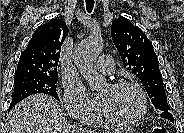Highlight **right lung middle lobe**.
<instances>
[{"label": "right lung middle lobe", "instance_id": "obj_1", "mask_svg": "<svg viewBox=\"0 0 184 133\" xmlns=\"http://www.w3.org/2000/svg\"><path fill=\"white\" fill-rule=\"evenodd\" d=\"M57 80L58 76L14 78V91L12 93V102L9 106V110L21 100L32 94L44 93L59 100L56 92Z\"/></svg>", "mask_w": 184, "mask_h": 133}]
</instances>
